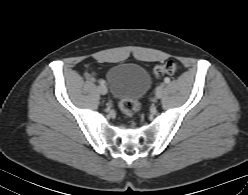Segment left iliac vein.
Masks as SVG:
<instances>
[{
	"instance_id": "4c4485c4",
	"label": "left iliac vein",
	"mask_w": 248,
	"mask_h": 195,
	"mask_svg": "<svg viewBox=\"0 0 248 195\" xmlns=\"http://www.w3.org/2000/svg\"><path fill=\"white\" fill-rule=\"evenodd\" d=\"M162 95H163V86H159V87L156 89L155 96H156V98H161Z\"/></svg>"
}]
</instances>
